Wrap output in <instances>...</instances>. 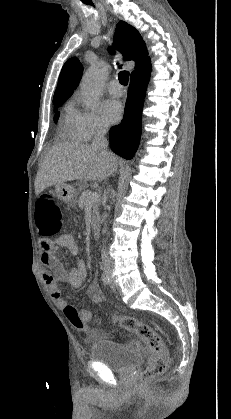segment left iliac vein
<instances>
[{
    "label": "left iliac vein",
    "instance_id": "left-iliac-vein-1",
    "mask_svg": "<svg viewBox=\"0 0 231 419\" xmlns=\"http://www.w3.org/2000/svg\"><path fill=\"white\" fill-rule=\"evenodd\" d=\"M107 271H108V270H107ZM109 271H110V270H109ZM108 276L110 277V280H111L110 287H111V289H112V290H115V284H114L113 278L111 277L110 272L108 273Z\"/></svg>",
    "mask_w": 231,
    "mask_h": 419
}]
</instances>
